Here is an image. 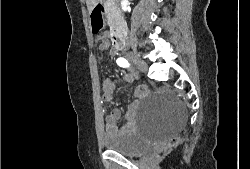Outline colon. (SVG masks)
Wrapping results in <instances>:
<instances>
[{"label":"colon","instance_id":"colon-1","mask_svg":"<svg viewBox=\"0 0 250 169\" xmlns=\"http://www.w3.org/2000/svg\"><path fill=\"white\" fill-rule=\"evenodd\" d=\"M91 29L94 34H99L104 29L103 11L99 7H95L91 11ZM180 138H169L165 141L164 150H175V146H179Z\"/></svg>","mask_w":250,"mask_h":169}]
</instances>
